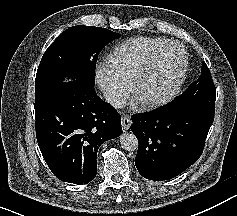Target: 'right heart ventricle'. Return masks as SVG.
<instances>
[{"mask_svg": "<svg viewBox=\"0 0 237 216\" xmlns=\"http://www.w3.org/2000/svg\"><path fill=\"white\" fill-rule=\"evenodd\" d=\"M170 40L155 41L150 36L137 35L125 41L111 52L107 59L108 73L121 81L132 79L137 72L143 70V62L150 53H163L170 48Z\"/></svg>", "mask_w": 237, "mask_h": 216, "instance_id": "obj_1", "label": "right heart ventricle"}]
</instances>
